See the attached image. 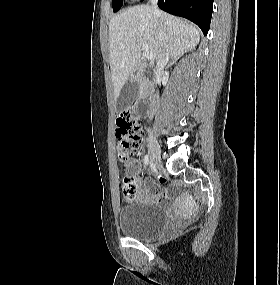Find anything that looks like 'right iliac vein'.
Returning <instances> with one entry per match:
<instances>
[{
  "label": "right iliac vein",
  "mask_w": 280,
  "mask_h": 285,
  "mask_svg": "<svg viewBox=\"0 0 280 285\" xmlns=\"http://www.w3.org/2000/svg\"><path fill=\"white\" fill-rule=\"evenodd\" d=\"M148 148L150 154V162L154 167L161 168V160H160V147L156 139L152 136L148 139Z\"/></svg>",
  "instance_id": "obj_1"
}]
</instances>
